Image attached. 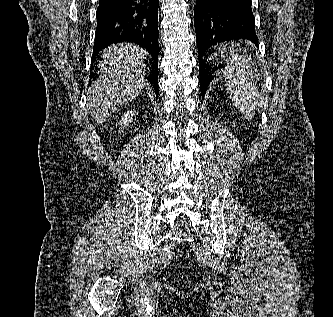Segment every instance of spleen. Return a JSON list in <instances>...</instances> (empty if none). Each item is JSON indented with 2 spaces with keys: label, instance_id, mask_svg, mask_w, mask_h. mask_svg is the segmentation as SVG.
Instances as JSON below:
<instances>
[{
  "label": "spleen",
  "instance_id": "obj_1",
  "mask_svg": "<svg viewBox=\"0 0 333 317\" xmlns=\"http://www.w3.org/2000/svg\"><path fill=\"white\" fill-rule=\"evenodd\" d=\"M233 46V44L229 45ZM230 65L220 71L225 80L227 95L236 108L250 120L255 115L260 93L254 81L251 60L238 53H228Z\"/></svg>",
  "mask_w": 333,
  "mask_h": 317
}]
</instances>
